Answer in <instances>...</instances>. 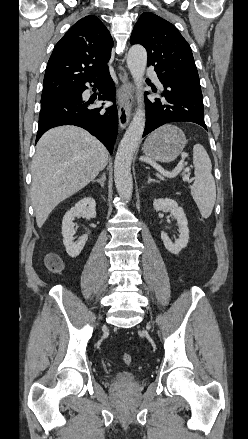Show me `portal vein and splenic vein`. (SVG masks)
Wrapping results in <instances>:
<instances>
[{
	"mask_svg": "<svg viewBox=\"0 0 248 439\" xmlns=\"http://www.w3.org/2000/svg\"><path fill=\"white\" fill-rule=\"evenodd\" d=\"M183 168H184L183 163H178L177 166H176L171 172H162V174H163V175H166V176H175V175H177L180 171H182ZM185 171H189V168H185ZM156 175H157L159 178L163 179V177H162L160 174L157 173ZM183 179H184L185 181H188V180H189L188 175L184 174Z\"/></svg>",
	"mask_w": 248,
	"mask_h": 439,
	"instance_id": "18ae733b",
	"label": "portal vein and splenic vein"
}]
</instances>
